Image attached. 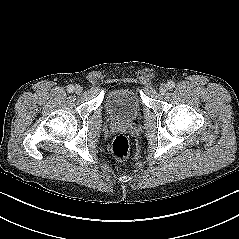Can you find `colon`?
I'll return each mask as SVG.
<instances>
[{
  "instance_id": "5ec220e1",
  "label": "colon",
  "mask_w": 239,
  "mask_h": 239,
  "mask_svg": "<svg viewBox=\"0 0 239 239\" xmlns=\"http://www.w3.org/2000/svg\"><path fill=\"white\" fill-rule=\"evenodd\" d=\"M112 154L116 159L124 160L130 154V144L126 136L117 135L112 142Z\"/></svg>"
}]
</instances>
